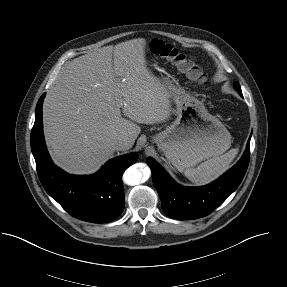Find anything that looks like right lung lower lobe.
Returning a JSON list of instances; mask_svg holds the SVG:
<instances>
[{"label":"right lung lower lobe","instance_id":"98d812e1","mask_svg":"<svg viewBox=\"0 0 287 287\" xmlns=\"http://www.w3.org/2000/svg\"><path fill=\"white\" fill-rule=\"evenodd\" d=\"M43 94L36 106L31 131V149L39 179L47 191L70 215L93 223H106L124 210L123 172L138 159L137 153L115 157L91 176L69 175L56 167L47 152L42 130Z\"/></svg>","mask_w":287,"mask_h":287}]
</instances>
